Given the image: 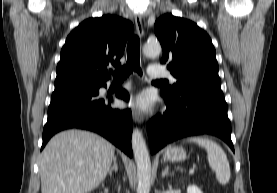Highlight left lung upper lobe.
Listing matches in <instances>:
<instances>
[{
  "mask_svg": "<svg viewBox=\"0 0 277 193\" xmlns=\"http://www.w3.org/2000/svg\"><path fill=\"white\" fill-rule=\"evenodd\" d=\"M154 31L163 49L161 63L178 79L160 92L162 96L175 100L191 88L221 85L216 51L204 30L190 20L165 14L156 20Z\"/></svg>",
  "mask_w": 277,
  "mask_h": 193,
  "instance_id": "obj_1",
  "label": "left lung upper lobe"
}]
</instances>
